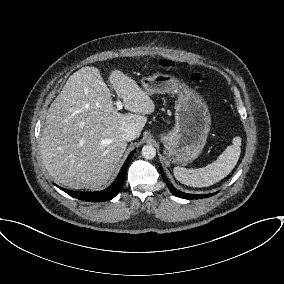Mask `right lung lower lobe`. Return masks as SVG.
<instances>
[{
	"instance_id": "obj_1",
	"label": "right lung lower lobe",
	"mask_w": 284,
	"mask_h": 284,
	"mask_svg": "<svg viewBox=\"0 0 284 284\" xmlns=\"http://www.w3.org/2000/svg\"><path fill=\"white\" fill-rule=\"evenodd\" d=\"M134 152L135 151H133L126 159L115 181L105 190L98 191V192H76V191H71L68 189L61 188L59 186L58 187L64 192H66L67 194L71 195L72 197L83 200V201L102 202V201L111 200L113 197H115L118 194V192L120 191V189L122 188L124 184L127 168H128L131 158L133 157Z\"/></svg>"
}]
</instances>
